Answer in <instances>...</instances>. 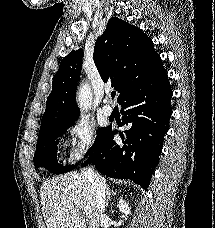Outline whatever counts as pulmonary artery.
Wrapping results in <instances>:
<instances>
[{
    "label": "pulmonary artery",
    "instance_id": "1",
    "mask_svg": "<svg viewBox=\"0 0 215 228\" xmlns=\"http://www.w3.org/2000/svg\"><path fill=\"white\" fill-rule=\"evenodd\" d=\"M105 105L102 108V112L106 116H110L113 113V106L111 105L112 97L110 92L107 93L104 99Z\"/></svg>",
    "mask_w": 215,
    "mask_h": 228
}]
</instances>
